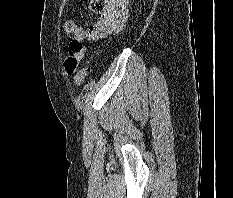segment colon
<instances>
[{"label": "colon", "instance_id": "1", "mask_svg": "<svg viewBox=\"0 0 233 198\" xmlns=\"http://www.w3.org/2000/svg\"><path fill=\"white\" fill-rule=\"evenodd\" d=\"M89 5L90 9L94 13H101L105 8L106 0H89ZM64 27L66 32L72 39L73 49L77 50L81 48L82 42L87 35L86 31L82 30L71 21L65 22ZM64 66L68 74H75V83L79 86L82 85L89 72V68L84 67L78 70L79 61L73 52H70V54L66 58Z\"/></svg>", "mask_w": 233, "mask_h": 198}]
</instances>
